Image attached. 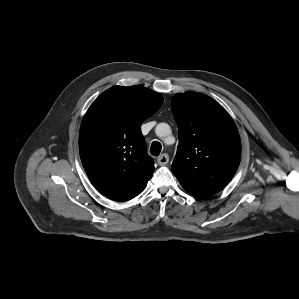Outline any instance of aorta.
Returning a JSON list of instances; mask_svg holds the SVG:
<instances>
[{
  "instance_id": "obj_1",
  "label": "aorta",
  "mask_w": 299,
  "mask_h": 299,
  "mask_svg": "<svg viewBox=\"0 0 299 299\" xmlns=\"http://www.w3.org/2000/svg\"><path fill=\"white\" fill-rule=\"evenodd\" d=\"M155 132H156L157 136L164 137L165 135H167L170 132V126L166 123H159L156 126Z\"/></svg>"
}]
</instances>
